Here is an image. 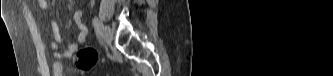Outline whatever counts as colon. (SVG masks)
I'll return each mask as SVG.
<instances>
[{
	"mask_svg": "<svg viewBox=\"0 0 333 76\" xmlns=\"http://www.w3.org/2000/svg\"><path fill=\"white\" fill-rule=\"evenodd\" d=\"M98 55L94 48L85 47L78 51L75 64L82 72L91 71L97 63Z\"/></svg>",
	"mask_w": 333,
	"mask_h": 76,
	"instance_id": "colon-1",
	"label": "colon"
}]
</instances>
